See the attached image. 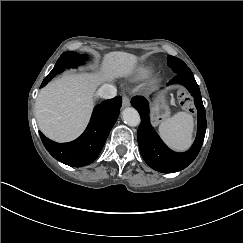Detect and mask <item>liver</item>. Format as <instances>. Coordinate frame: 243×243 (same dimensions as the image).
Segmentation results:
<instances>
[{"mask_svg":"<svg viewBox=\"0 0 243 243\" xmlns=\"http://www.w3.org/2000/svg\"><path fill=\"white\" fill-rule=\"evenodd\" d=\"M133 55L114 52L106 56V76L130 73ZM95 81L81 75L66 74L42 89L35 104L41 131L56 141H69L84 129L93 107Z\"/></svg>","mask_w":243,"mask_h":243,"instance_id":"obj_1","label":"liver"}]
</instances>
